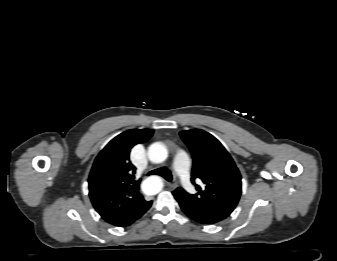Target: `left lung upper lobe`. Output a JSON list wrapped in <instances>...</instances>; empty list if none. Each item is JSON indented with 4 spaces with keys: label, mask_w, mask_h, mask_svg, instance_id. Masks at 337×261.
<instances>
[{
    "label": "left lung upper lobe",
    "mask_w": 337,
    "mask_h": 261,
    "mask_svg": "<svg viewBox=\"0 0 337 261\" xmlns=\"http://www.w3.org/2000/svg\"><path fill=\"white\" fill-rule=\"evenodd\" d=\"M193 157L191 181L197 193L177 188L173 195L181 207L218 223L234 210L241 195V175L223 145L201 129L180 132ZM200 179L203 186L195 184Z\"/></svg>",
    "instance_id": "left-lung-upper-lobe-1"
}]
</instances>
